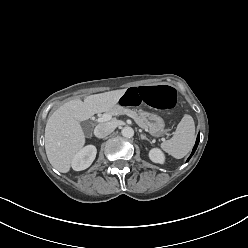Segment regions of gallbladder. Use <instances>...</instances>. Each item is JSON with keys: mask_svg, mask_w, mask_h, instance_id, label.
Instances as JSON below:
<instances>
[{"mask_svg": "<svg viewBox=\"0 0 248 248\" xmlns=\"http://www.w3.org/2000/svg\"><path fill=\"white\" fill-rule=\"evenodd\" d=\"M81 126L85 131H87L89 129L90 124L88 121H84L81 123Z\"/></svg>", "mask_w": 248, "mask_h": 248, "instance_id": "obj_1", "label": "gallbladder"}]
</instances>
